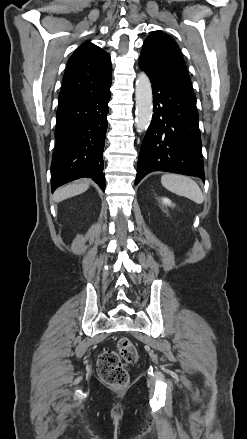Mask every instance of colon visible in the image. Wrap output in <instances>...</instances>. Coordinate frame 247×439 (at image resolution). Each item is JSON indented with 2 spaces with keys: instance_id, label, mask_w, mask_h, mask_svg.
Masks as SVG:
<instances>
[{
  "instance_id": "colon-1",
  "label": "colon",
  "mask_w": 247,
  "mask_h": 439,
  "mask_svg": "<svg viewBox=\"0 0 247 439\" xmlns=\"http://www.w3.org/2000/svg\"><path fill=\"white\" fill-rule=\"evenodd\" d=\"M137 360V351L128 338L118 341L117 351H104L98 360L97 370L101 380L116 389L128 383V366Z\"/></svg>"
}]
</instances>
